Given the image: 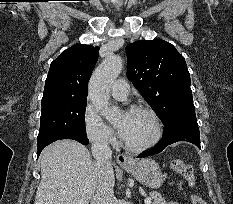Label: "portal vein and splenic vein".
Here are the masks:
<instances>
[{
    "label": "portal vein and splenic vein",
    "instance_id": "1",
    "mask_svg": "<svg viewBox=\"0 0 233 204\" xmlns=\"http://www.w3.org/2000/svg\"><path fill=\"white\" fill-rule=\"evenodd\" d=\"M144 202L145 204H151V197H147Z\"/></svg>",
    "mask_w": 233,
    "mask_h": 204
}]
</instances>
